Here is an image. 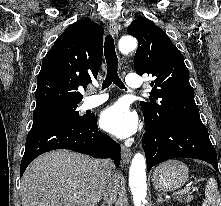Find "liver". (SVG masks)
Instances as JSON below:
<instances>
[{
	"instance_id": "liver-1",
	"label": "liver",
	"mask_w": 221,
	"mask_h": 206,
	"mask_svg": "<svg viewBox=\"0 0 221 206\" xmlns=\"http://www.w3.org/2000/svg\"><path fill=\"white\" fill-rule=\"evenodd\" d=\"M103 161L67 150L36 158L21 180L22 206H96Z\"/></svg>"
}]
</instances>
